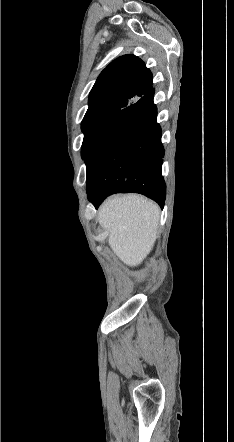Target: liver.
<instances>
[{"label":"liver","instance_id":"1","mask_svg":"<svg viewBox=\"0 0 234 442\" xmlns=\"http://www.w3.org/2000/svg\"><path fill=\"white\" fill-rule=\"evenodd\" d=\"M160 209L147 198L129 194L108 198L100 207L98 221L109 232L108 243L126 265L142 263L157 238Z\"/></svg>","mask_w":234,"mask_h":442}]
</instances>
